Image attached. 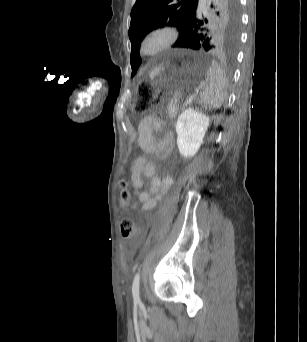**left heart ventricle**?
<instances>
[{"instance_id":"b2bd125f","label":"left heart ventricle","mask_w":307,"mask_h":342,"mask_svg":"<svg viewBox=\"0 0 307 342\" xmlns=\"http://www.w3.org/2000/svg\"><path fill=\"white\" fill-rule=\"evenodd\" d=\"M164 36L162 34H156L151 39H149L144 48L146 52H152L156 47L160 45V43L163 41Z\"/></svg>"}]
</instances>
